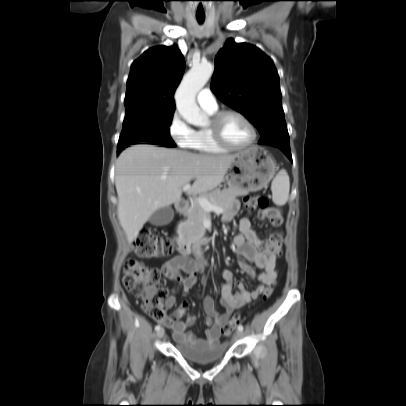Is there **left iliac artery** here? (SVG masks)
<instances>
[{
	"label": "left iliac artery",
	"mask_w": 406,
	"mask_h": 406,
	"mask_svg": "<svg viewBox=\"0 0 406 406\" xmlns=\"http://www.w3.org/2000/svg\"><path fill=\"white\" fill-rule=\"evenodd\" d=\"M243 329H244V328H243L242 325H239V326H238V330L243 331Z\"/></svg>",
	"instance_id": "44dca946"
}]
</instances>
